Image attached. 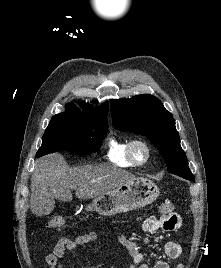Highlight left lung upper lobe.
Returning a JSON list of instances; mask_svg holds the SVG:
<instances>
[{"label":"left lung upper lobe","mask_w":221,"mask_h":268,"mask_svg":"<svg viewBox=\"0 0 221 268\" xmlns=\"http://www.w3.org/2000/svg\"><path fill=\"white\" fill-rule=\"evenodd\" d=\"M110 109L114 127L146 136L167 162L170 173L186 179L193 176L180 146L173 116L158 98L142 94L130 99L111 100Z\"/></svg>","instance_id":"left-lung-upper-lobe-1"}]
</instances>
